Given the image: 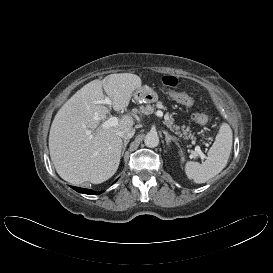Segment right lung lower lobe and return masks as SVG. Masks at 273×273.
Wrapping results in <instances>:
<instances>
[{"mask_svg": "<svg viewBox=\"0 0 273 273\" xmlns=\"http://www.w3.org/2000/svg\"><path fill=\"white\" fill-rule=\"evenodd\" d=\"M74 190H76L77 192H80V193H84V194H100L101 192H94L90 189H84V188H79V187H74V186H71Z\"/></svg>", "mask_w": 273, "mask_h": 273, "instance_id": "98d812e1", "label": "right lung lower lobe"}]
</instances>
